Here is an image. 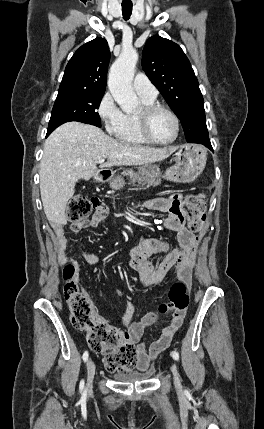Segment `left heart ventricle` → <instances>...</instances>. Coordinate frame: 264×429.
<instances>
[{
    "label": "left heart ventricle",
    "instance_id": "left-heart-ventricle-1",
    "mask_svg": "<svg viewBox=\"0 0 264 429\" xmlns=\"http://www.w3.org/2000/svg\"><path fill=\"white\" fill-rule=\"evenodd\" d=\"M150 131L156 140L168 141L175 134L174 120L165 112H157L151 118Z\"/></svg>",
    "mask_w": 264,
    "mask_h": 429
}]
</instances>
